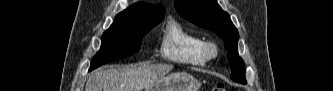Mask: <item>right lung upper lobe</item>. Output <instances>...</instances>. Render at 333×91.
<instances>
[{
  "instance_id": "right-lung-upper-lobe-1",
  "label": "right lung upper lobe",
  "mask_w": 333,
  "mask_h": 91,
  "mask_svg": "<svg viewBox=\"0 0 333 91\" xmlns=\"http://www.w3.org/2000/svg\"><path fill=\"white\" fill-rule=\"evenodd\" d=\"M165 9L159 5L152 7L144 3H136L133 6L119 13L113 24H122L131 21L149 20L155 18H163Z\"/></svg>"
}]
</instances>
